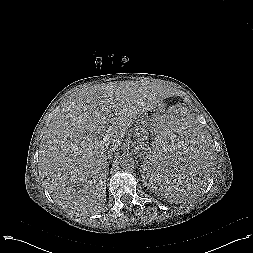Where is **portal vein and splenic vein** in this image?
<instances>
[{
  "label": "portal vein and splenic vein",
  "mask_w": 253,
  "mask_h": 253,
  "mask_svg": "<svg viewBox=\"0 0 253 253\" xmlns=\"http://www.w3.org/2000/svg\"><path fill=\"white\" fill-rule=\"evenodd\" d=\"M138 142H139V143H143V142H141V139H138Z\"/></svg>",
  "instance_id": "portal-vein-and-splenic-vein-1"
}]
</instances>
